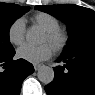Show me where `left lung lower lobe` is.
<instances>
[{"mask_svg":"<svg viewBox=\"0 0 95 95\" xmlns=\"http://www.w3.org/2000/svg\"><path fill=\"white\" fill-rule=\"evenodd\" d=\"M53 82L45 86L48 95H95V50L64 55L57 62Z\"/></svg>","mask_w":95,"mask_h":95,"instance_id":"0a47b994","label":"left lung lower lobe"}]
</instances>
